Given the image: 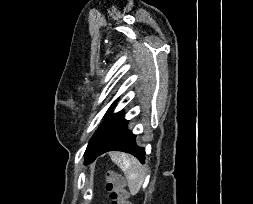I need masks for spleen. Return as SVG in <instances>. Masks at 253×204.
<instances>
[{
	"instance_id": "spleen-1",
	"label": "spleen",
	"mask_w": 253,
	"mask_h": 204,
	"mask_svg": "<svg viewBox=\"0 0 253 204\" xmlns=\"http://www.w3.org/2000/svg\"><path fill=\"white\" fill-rule=\"evenodd\" d=\"M110 156L112 161L124 172L131 194L136 195L145 179L143 166L135 157L125 153H111Z\"/></svg>"
}]
</instances>
